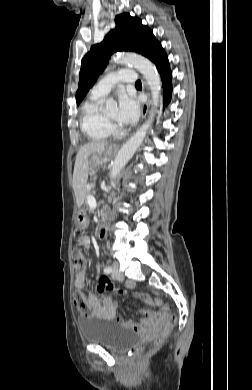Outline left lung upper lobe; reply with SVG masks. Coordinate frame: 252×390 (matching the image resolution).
Masks as SVG:
<instances>
[{"label":"left lung upper lobe","instance_id":"left-lung-upper-lobe-1","mask_svg":"<svg viewBox=\"0 0 252 390\" xmlns=\"http://www.w3.org/2000/svg\"><path fill=\"white\" fill-rule=\"evenodd\" d=\"M116 27L104 40L93 45L81 62L76 102L79 104L98 76L106 68L111 54L116 51H131L148 56L152 47L158 42L152 30L142 25L141 20L122 13L115 17Z\"/></svg>","mask_w":252,"mask_h":390}]
</instances>
